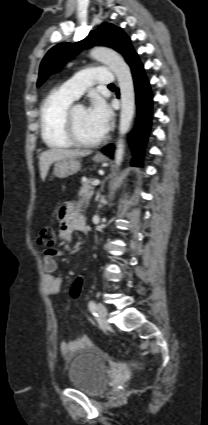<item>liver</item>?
Listing matches in <instances>:
<instances>
[{
	"mask_svg": "<svg viewBox=\"0 0 208 425\" xmlns=\"http://www.w3.org/2000/svg\"><path fill=\"white\" fill-rule=\"evenodd\" d=\"M91 154L90 151L70 150L53 148L41 153L39 157V169L42 181L45 180L50 166L61 159H75L77 157H85Z\"/></svg>",
	"mask_w": 208,
	"mask_h": 425,
	"instance_id": "6515ba94",
	"label": "liver"
}]
</instances>
